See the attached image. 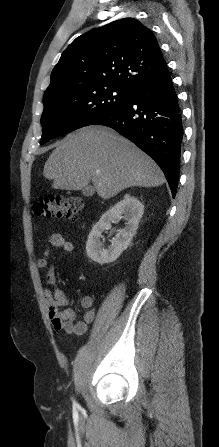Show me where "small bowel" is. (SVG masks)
<instances>
[{
	"instance_id": "c3829d8e",
	"label": "small bowel",
	"mask_w": 219,
	"mask_h": 447,
	"mask_svg": "<svg viewBox=\"0 0 219 447\" xmlns=\"http://www.w3.org/2000/svg\"><path fill=\"white\" fill-rule=\"evenodd\" d=\"M49 247L44 251L43 256L38 260V267L46 268L45 278L48 284L53 287V291L45 290L44 302L51 325L56 331H65L71 334H83L87 330V326L94 319V310L92 305L94 299L90 295H85L80 301V307L84 310L82 320L77 321L78 312L74 309L67 308L61 310L62 306L70 303L66 292L57 286L56 275L49 267V261L53 250L61 249L64 252L72 253L74 244L66 240L61 234L53 233L48 239Z\"/></svg>"
}]
</instances>
